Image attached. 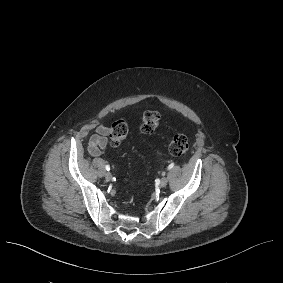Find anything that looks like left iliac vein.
<instances>
[{
    "instance_id": "obj_1",
    "label": "left iliac vein",
    "mask_w": 283,
    "mask_h": 283,
    "mask_svg": "<svg viewBox=\"0 0 283 283\" xmlns=\"http://www.w3.org/2000/svg\"><path fill=\"white\" fill-rule=\"evenodd\" d=\"M167 183H168L167 177H163L159 180V186L160 187H165L167 185Z\"/></svg>"
}]
</instances>
